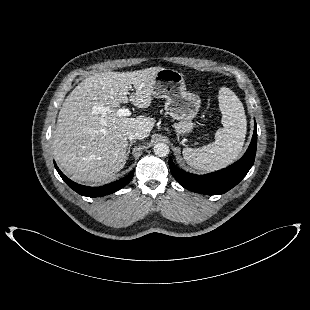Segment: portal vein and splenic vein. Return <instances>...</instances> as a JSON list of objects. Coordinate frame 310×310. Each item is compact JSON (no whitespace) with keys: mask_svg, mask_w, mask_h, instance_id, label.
<instances>
[{"mask_svg":"<svg viewBox=\"0 0 310 310\" xmlns=\"http://www.w3.org/2000/svg\"><path fill=\"white\" fill-rule=\"evenodd\" d=\"M116 114L119 117L130 116L131 115V111L129 109H126V108H120V109L117 110Z\"/></svg>","mask_w":310,"mask_h":310,"instance_id":"portal-vein-and-splenic-vein-1","label":"portal vein and splenic vein"}]
</instances>
